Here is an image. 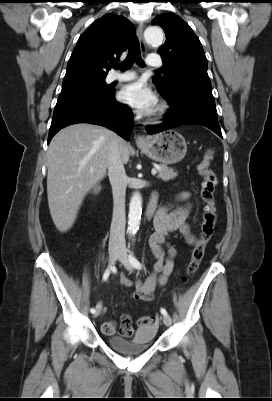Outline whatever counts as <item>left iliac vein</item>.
I'll list each match as a JSON object with an SVG mask.
<instances>
[{
	"label": "left iliac vein",
	"mask_w": 272,
	"mask_h": 401,
	"mask_svg": "<svg viewBox=\"0 0 272 401\" xmlns=\"http://www.w3.org/2000/svg\"><path fill=\"white\" fill-rule=\"evenodd\" d=\"M118 260L124 265V267L128 271H132L133 270L132 265H131V263L129 261V258H128V255H127V252H126V249H125L124 246H121V248H120V253H119V256H118ZM162 320H163V323L166 326H170L171 323H172V320H171L170 316H168V315L163 316Z\"/></svg>",
	"instance_id": "1"
}]
</instances>
